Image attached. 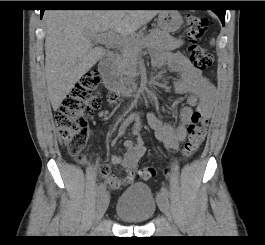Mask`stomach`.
Returning a JSON list of instances; mask_svg holds the SVG:
<instances>
[{
  "instance_id": "1",
  "label": "stomach",
  "mask_w": 265,
  "mask_h": 245,
  "mask_svg": "<svg viewBox=\"0 0 265 245\" xmlns=\"http://www.w3.org/2000/svg\"><path fill=\"white\" fill-rule=\"evenodd\" d=\"M182 23V16L178 11H161L158 15V26L164 33L175 32Z\"/></svg>"
}]
</instances>
